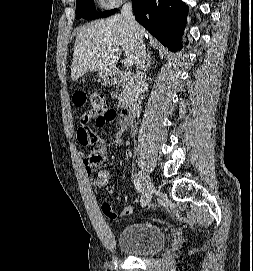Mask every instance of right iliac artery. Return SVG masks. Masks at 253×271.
Segmentation results:
<instances>
[{
	"instance_id": "obj_1",
	"label": "right iliac artery",
	"mask_w": 253,
	"mask_h": 271,
	"mask_svg": "<svg viewBox=\"0 0 253 271\" xmlns=\"http://www.w3.org/2000/svg\"><path fill=\"white\" fill-rule=\"evenodd\" d=\"M134 185H135L136 190L139 193H143V185H142V182L139 179H134Z\"/></svg>"
}]
</instances>
